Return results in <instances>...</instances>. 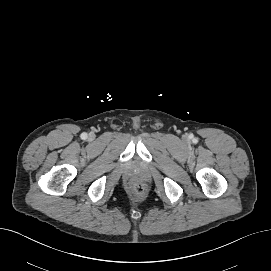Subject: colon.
<instances>
[{
	"label": "colon",
	"instance_id": "1",
	"mask_svg": "<svg viewBox=\"0 0 271 271\" xmlns=\"http://www.w3.org/2000/svg\"><path fill=\"white\" fill-rule=\"evenodd\" d=\"M133 193L137 198L141 199L145 196V188L142 185H135L133 187Z\"/></svg>",
	"mask_w": 271,
	"mask_h": 271
}]
</instances>
